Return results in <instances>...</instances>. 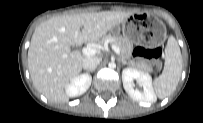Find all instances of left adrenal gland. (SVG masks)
<instances>
[{
    "instance_id": "1",
    "label": "left adrenal gland",
    "mask_w": 203,
    "mask_h": 123,
    "mask_svg": "<svg viewBox=\"0 0 203 123\" xmlns=\"http://www.w3.org/2000/svg\"><path fill=\"white\" fill-rule=\"evenodd\" d=\"M120 61H121V63H122V65H125V64H127V62L122 58V59H120Z\"/></svg>"
}]
</instances>
